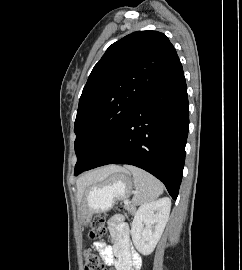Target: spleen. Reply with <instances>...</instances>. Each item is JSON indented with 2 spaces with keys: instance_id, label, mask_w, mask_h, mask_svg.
<instances>
[{
  "instance_id": "obj_1",
  "label": "spleen",
  "mask_w": 242,
  "mask_h": 270,
  "mask_svg": "<svg viewBox=\"0 0 242 270\" xmlns=\"http://www.w3.org/2000/svg\"><path fill=\"white\" fill-rule=\"evenodd\" d=\"M127 169L133 175L135 191L132 202L135 205L153 202L163 193L162 183L151 174L134 166Z\"/></svg>"
}]
</instances>
